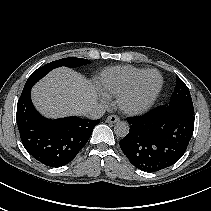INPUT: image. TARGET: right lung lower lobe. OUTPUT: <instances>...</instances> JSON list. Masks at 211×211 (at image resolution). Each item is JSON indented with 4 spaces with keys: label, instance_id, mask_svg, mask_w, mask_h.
Masks as SVG:
<instances>
[{
    "label": "right lung lower lobe",
    "instance_id": "98d812e1",
    "mask_svg": "<svg viewBox=\"0 0 211 211\" xmlns=\"http://www.w3.org/2000/svg\"><path fill=\"white\" fill-rule=\"evenodd\" d=\"M31 90L17 104V125L27 152L42 164L60 167L71 162L89 140L100 120L71 116L47 119L33 106Z\"/></svg>",
    "mask_w": 211,
    "mask_h": 211
}]
</instances>
